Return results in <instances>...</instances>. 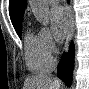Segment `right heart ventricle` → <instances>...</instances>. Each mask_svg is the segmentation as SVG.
I'll return each instance as SVG.
<instances>
[{"label": "right heart ventricle", "instance_id": "1", "mask_svg": "<svg viewBox=\"0 0 89 89\" xmlns=\"http://www.w3.org/2000/svg\"><path fill=\"white\" fill-rule=\"evenodd\" d=\"M25 62L33 73H48L54 65L52 57L42 52L38 34H33L31 31L25 36Z\"/></svg>", "mask_w": 89, "mask_h": 89}]
</instances>
